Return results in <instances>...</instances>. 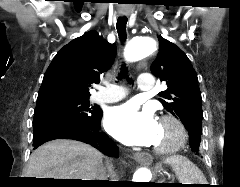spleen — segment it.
Listing matches in <instances>:
<instances>
[{"label":"spleen","instance_id":"1","mask_svg":"<svg viewBox=\"0 0 240 187\" xmlns=\"http://www.w3.org/2000/svg\"><path fill=\"white\" fill-rule=\"evenodd\" d=\"M175 172L178 180L184 184H206V179L199 168L189 159L174 155L166 159Z\"/></svg>","mask_w":240,"mask_h":187}]
</instances>
